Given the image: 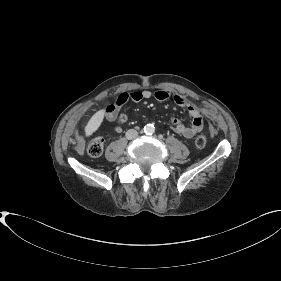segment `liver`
Segmentation results:
<instances>
[{"mask_svg":"<svg viewBox=\"0 0 281 281\" xmlns=\"http://www.w3.org/2000/svg\"><path fill=\"white\" fill-rule=\"evenodd\" d=\"M105 116V110L101 109L97 111L88 121L87 125L85 126V135L91 136L101 125Z\"/></svg>","mask_w":281,"mask_h":281,"instance_id":"liver-1","label":"liver"}]
</instances>
